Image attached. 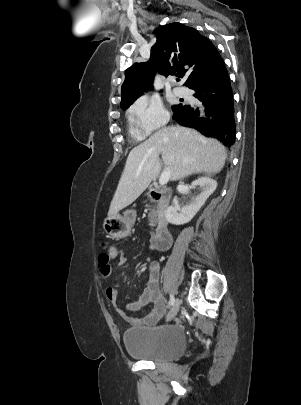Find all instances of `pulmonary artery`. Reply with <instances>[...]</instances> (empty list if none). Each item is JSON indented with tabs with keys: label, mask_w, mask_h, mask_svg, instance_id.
Listing matches in <instances>:
<instances>
[{
	"label": "pulmonary artery",
	"mask_w": 301,
	"mask_h": 405,
	"mask_svg": "<svg viewBox=\"0 0 301 405\" xmlns=\"http://www.w3.org/2000/svg\"><path fill=\"white\" fill-rule=\"evenodd\" d=\"M175 94H177L178 96H185L187 94V90L185 88H181V87H176L174 89Z\"/></svg>",
	"instance_id": "1"
}]
</instances>
